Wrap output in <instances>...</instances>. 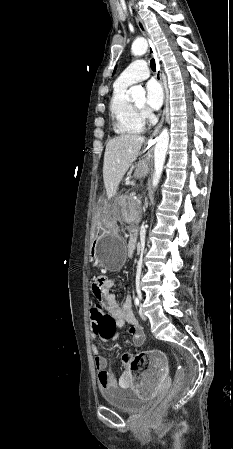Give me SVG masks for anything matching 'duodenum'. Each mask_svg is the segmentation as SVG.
Returning a JSON list of instances; mask_svg holds the SVG:
<instances>
[{
	"label": "duodenum",
	"mask_w": 233,
	"mask_h": 449,
	"mask_svg": "<svg viewBox=\"0 0 233 449\" xmlns=\"http://www.w3.org/2000/svg\"><path fill=\"white\" fill-rule=\"evenodd\" d=\"M136 236H137V232L133 231L131 234L129 246H128L129 252H133L135 249Z\"/></svg>",
	"instance_id": "duodenum-1"
}]
</instances>
